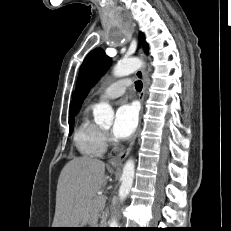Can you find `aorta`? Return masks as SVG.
<instances>
[{"label":"aorta","instance_id":"obj_1","mask_svg":"<svg viewBox=\"0 0 231 231\" xmlns=\"http://www.w3.org/2000/svg\"><path fill=\"white\" fill-rule=\"evenodd\" d=\"M143 62L138 58H129V59H123L119 61L115 67H114V75L117 77H123L127 76L136 70H138L140 67H142ZM94 120L97 124L101 123H112L114 118V112L110 105L106 103H101L98 105L94 111ZM134 173H135V163L132 158L127 160V162L124 164L123 172H122V183L119 188V198L120 200H124L127 195L130 192V189L133 184L134 179ZM119 223L116 217H113L109 222L110 228H118Z\"/></svg>","mask_w":231,"mask_h":231}]
</instances>
